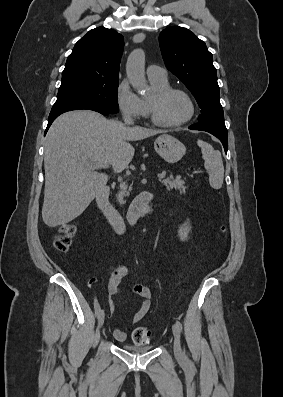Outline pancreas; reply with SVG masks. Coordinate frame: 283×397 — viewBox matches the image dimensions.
<instances>
[{"label":"pancreas","instance_id":"cf45deb5","mask_svg":"<svg viewBox=\"0 0 283 397\" xmlns=\"http://www.w3.org/2000/svg\"><path fill=\"white\" fill-rule=\"evenodd\" d=\"M161 183L166 187L167 190H180L185 192L187 187L185 186V180L180 177L174 178L173 176L167 177L161 181ZM130 189L127 188L126 183L120 185V190L118 191L117 198L120 204L124 203V197L129 195Z\"/></svg>","mask_w":283,"mask_h":397}]
</instances>
